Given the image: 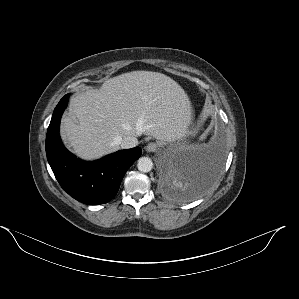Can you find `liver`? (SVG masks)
<instances>
[{"mask_svg": "<svg viewBox=\"0 0 299 299\" xmlns=\"http://www.w3.org/2000/svg\"><path fill=\"white\" fill-rule=\"evenodd\" d=\"M191 119L190 99L176 81L158 72L132 71L72 97L61 136L76 155L93 160L117 151L118 137L174 142L187 133Z\"/></svg>", "mask_w": 299, "mask_h": 299, "instance_id": "1", "label": "liver"}]
</instances>
